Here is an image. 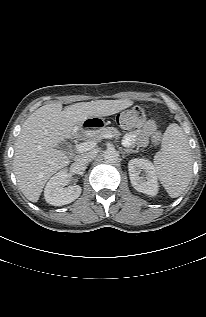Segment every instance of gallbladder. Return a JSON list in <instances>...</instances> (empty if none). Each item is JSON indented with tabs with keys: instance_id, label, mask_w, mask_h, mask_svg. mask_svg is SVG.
I'll return each mask as SVG.
<instances>
[{
	"instance_id": "1",
	"label": "gallbladder",
	"mask_w": 206,
	"mask_h": 317,
	"mask_svg": "<svg viewBox=\"0 0 206 317\" xmlns=\"http://www.w3.org/2000/svg\"><path fill=\"white\" fill-rule=\"evenodd\" d=\"M58 149L62 150L65 153L70 151L69 145L66 142H62L57 146Z\"/></svg>"
}]
</instances>
